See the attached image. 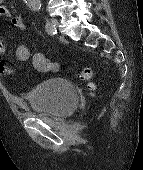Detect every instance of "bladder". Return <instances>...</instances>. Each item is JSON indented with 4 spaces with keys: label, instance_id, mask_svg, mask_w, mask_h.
Returning a JSON list of instances; mask_svg holds the SVG:
<instances>
[{
    "label": "bladder",
    "instance_id": "1",
    "mask_svg": "<svg viewBox=\"0 0 143 170\" xmlns=\"http://www.w3.org/2000/svg\"><path fill=\"white\" fill-rule=\"evenodd\" d=\"M28 110L36 116L63 119L70 116L78 105V93L73 84L48 77L25 93Z\"/></svg>",
    "mask_w": 143,
    "mask_h": 170
}]
</instances>
